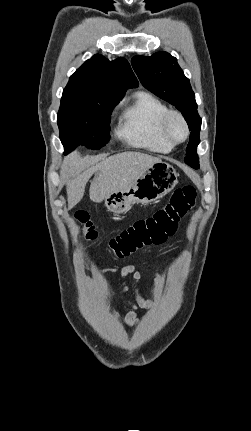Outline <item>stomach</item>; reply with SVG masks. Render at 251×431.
<instances>
[{
	"label": "stomach",
	"mask_w": 251,
	"mask_h": 431,
	"mask_svg": "<svg viewBox=\"0 0 251 431\" xmlns=\"http://www.w3.org/2000/svg\"><path fill=\"white\" fill-rule=\"evenodd\" d=\"M177 178L178 173L172 165L159 161L151 165L126 190L111 193L105 199V206L108 211L120 215L135 203L156 202L176 186Z\"/></svg>",
	"instance_id": "0dacf381"
}]
</instances>
